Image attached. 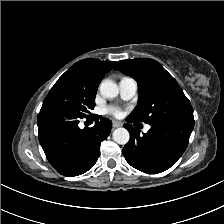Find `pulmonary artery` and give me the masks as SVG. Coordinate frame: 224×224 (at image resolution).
I'll return each instance as SVG.
<instances>
[{"instance_id": "1", "label": "pulmonary artery", "mask_w": 224, "mask_h": 224, "mask_svg": "<svg viewBox=\"0 0 224 224\" xmlns=\"http://www.w3.org/2000/svg\"><path fill=\"white\" fill-rule=\"evenodd\" d=\"M137 82L130 77H124L119 82V90H120V97L123 100H130L132 99L137 93ZM149 126L144 128L145 131L149 130Z\"/></svg>"}]
</instances>
